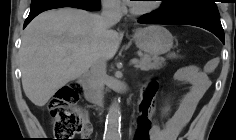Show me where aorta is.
Wrapping results in <instances>:
<instances>
[{
    "label": "aorta",
    "instance_id": "obj_1",
    "mask_svg": "<svg viewBox=\"0 0 236 140\" xmlns=\"http://www.w3.org/2000/svg\"><path fill=\"white\" fill-rule=\"evenodd\" d=\"M120 121H121V110L120 104L114 101L109 107L108 114L105 123V134L106 140H119L121 137L120 133Z\"/></svg>",
    "mask_w": 236,
    "mask_h": 140
}]
</instances>
